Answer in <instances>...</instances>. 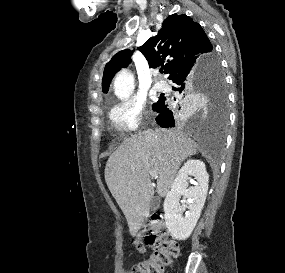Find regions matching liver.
Here are the masks:
<instances>
[{
  "label": "liver",
  "mask_w": 285,
  "mask_h": 273,
  "mask_svg": "<svg viewBox=\"0 0 285 273\" xmlns=\"http://www.w3.org/2000/svg\"><path fill=\"white\" fill-rule=\"evenodd\" d=\"M196 153L197 144L188 136L173 129L159 128L125 139L110 155L105 181L132 236L149 215L154 194L150 171H157V192L164 197L181 163Z\"/></svg>",
  "instance_id": "1"
}]
</instances>
